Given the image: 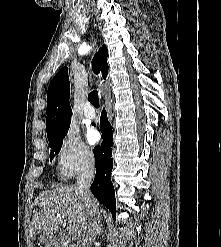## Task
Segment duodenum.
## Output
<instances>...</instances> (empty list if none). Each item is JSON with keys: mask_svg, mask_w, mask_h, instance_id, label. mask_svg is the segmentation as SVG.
Segmentation results:
<instances>
[{"mask_svg": "<svg viewBox=\"0 0 221 247\" xmlns=\"http://www.w3.org/2000/svg\"><path fill=\"white\" fill-rule=\"evenodd\" d=\"M51 237L53 240V244L57 247H61L62 245H64L63 236L59 231H52Z\"/></svg>", "mask_w": 221, "mask_h": 247, "instance_id": "obj_1", "label": "duodenum"}]
</instances>
